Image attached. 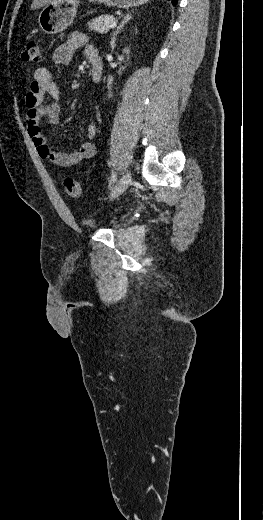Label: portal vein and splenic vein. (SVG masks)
Wrapping results in <instances>:
<instances>
[{
	"instance_id": "portal-vein-and-splenic-vein-1",
	"label": "portal vein and splenic vein",
	"mask_w": 263,
	"mask_h": 520,
	"mask_svg": "<svg viewBox=\"0 0 263 520\" xmlns=\"http://www.w3.org/2000/svg\"><path fill=\"white\" fill-rule=\"evenodd\" d=\"M116 25H117V23L115 21H113L110 23L109 27L114 28V27H116Z\"/></svg>"
}]
</instances>
